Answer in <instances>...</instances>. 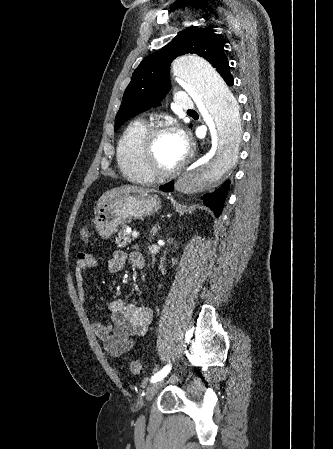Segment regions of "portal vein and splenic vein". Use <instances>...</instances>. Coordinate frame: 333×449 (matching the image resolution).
<instances>
[{
	"mask_svg": "<svg viewBox=\"0 0 333 449\" xmlns=\"http://www.w3.org/2000/svg\"><path fill=\"white\" fill-rule=\"evenodd\" d=\"M138 236H139V233L137 231H133L132 232V237L133 238H138Z\"/></svg>",
	"mask_w": 333,
	"mask_h": 449,
	"instance_id": "1",
	"label": "portal vein and splenic vein"
}]
</instances>
